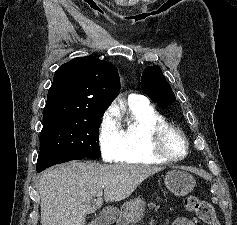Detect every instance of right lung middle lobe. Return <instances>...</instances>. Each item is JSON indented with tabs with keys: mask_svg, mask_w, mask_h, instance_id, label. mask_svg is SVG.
I'll return each instance as SVG.
<instances>
[{
	"mask_svg": "<svg viewBox=\"0 0 237 225\" xmlns=\"http://www.w3.org/2000/svg\"><path fill=\"white\" fill-rule=\"evenodd\" d=\"M101 117L58 116L44 120L40 151L70 152L98 159Z\"/></svg>",
	"mask_w": 237,
	"mask_h": 225,
	"instance_id": "1",
	"label": "right lung middle lobe"
}]
</instances>
